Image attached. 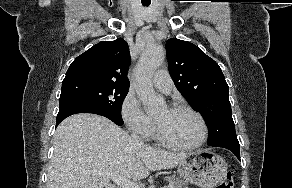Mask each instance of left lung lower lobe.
Masks as SVG:
<instances>
[{"mask_svg":"<svg viewBox=\"0 0 292 188\" xmlns=\"http://www.w3.org/2000/svg\"><path fill=\"white\" fill-rule=\"evenodd\" d=\"M211 147H222L232 151L237 158L240 160V145L236 135H231L223 139L218 140L217 142L210 144Z\"/></svg>","mask_w":292,"mask_h":188,"instance_id":"obj_1","label":"left lung lower lobe"}]
</instances>
